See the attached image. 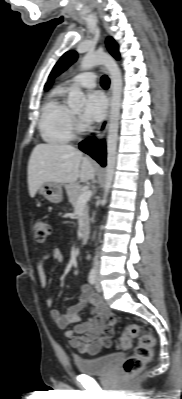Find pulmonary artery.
Masks as SVG:
<instances>
[{
  "label": "pulmonary artery",
  "mask_w": 182,
  "mask_h": 399,
  "mask_svg": "<svg viewBox=\"0 0 182 399\" xmlns=\"http://www.w3.org/2000/svg\"><path fill=\"white\" fill-rule=\"evenodd\" d=\"M71 82L83 88H94L97 83V76L94 72H84L73 77Z\"/></svg>",
  "instance_id": "e3ab8cb5"
}]
</instances>
